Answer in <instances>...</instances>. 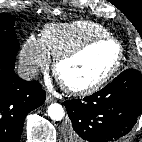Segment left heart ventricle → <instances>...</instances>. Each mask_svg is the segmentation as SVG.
<instances>
[{
  "instance_id": "left-heart-ventricle-1",
  "label": "left heart ventricle",
  "mask_w": 142,
  "mask_h": 142,
  "mask_svg": "<svg viewBox=\"0 0 142 142\" xmlns=\"http://www.w3.org/2000/svg\"><path fill=\"white\" fill-rule=\"evenodd\" d=\"M117 57V47L112 42L97 44L60 68L62 80L75 87L89 85L104 75Z\"/></svg>"
}]
</instances>
